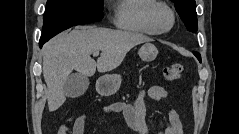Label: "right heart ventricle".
<instances>
[{
  "label": "right heart ventricle",
  "mask_w": 239,
  "mask_h": 134,
  "mask_svg": "<svg viewBox=\"0 0 239 134\" xmlns=\"http://www.w3.org/2000/svg\"><path fill=\"white\" fill-rule=\"evenodd\" d=\"M153 0H118L115 5V24L118 28L142 34L155 32L146 21V11Z\"/></svg>",
  "instance_id": "e07e8e85"
}]
</instances>
